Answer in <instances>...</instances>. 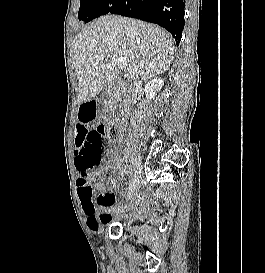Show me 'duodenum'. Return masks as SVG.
I'll return each instance as SVG.
<instances>
[{
	"mask_svg": "<svg viewBox=\"0 0 265 273\" xmlns=\"http://www.w3.org/2000/svg\"><path fill=\"white\" fill-rule=\"evenodd\" d=\"M103 99H107V98H103ZM111 101H112L113 103H116V102L119 101V97L113 94L112 97H111Z\"/></svg>",
	"mask_w": 265,
	"mask_h": 273,
	"instance_id": "duodenum-1",
	"label": "duodenum"
}]
</instances>
